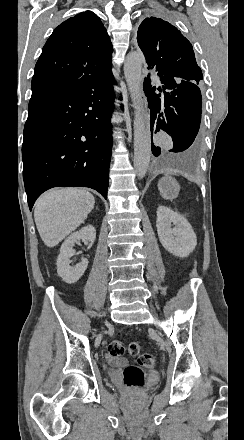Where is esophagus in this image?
Wrapping results in <instances>:
<instances>
[{
	"instance_id": "obj_1",
	"label": "esophagus",
	"mask_w": 244,
	"mask_h": 440,
	"mask_svg": "<svg viewBox=\"0 0 244 440\" xmlns=\"http://www.w3.org/2000/svg\"><path fill=\"white\" fill-rule=\"evenodd\" d=\"M140 110L142 113V117L145 123L146 128H149V114H148V104L146 98L142 95L139 102Z\"/></svg>"
}]
</instances>
